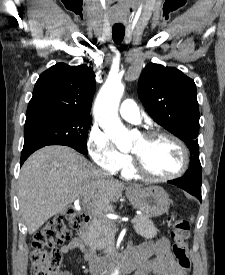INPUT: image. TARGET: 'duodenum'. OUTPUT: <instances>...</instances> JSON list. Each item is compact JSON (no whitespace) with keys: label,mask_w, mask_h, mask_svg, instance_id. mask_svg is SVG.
Instances as JSON below:
<instances>
[{"label":"duodenum","mask_w":225,"mask_h":275,"mask_svg":"<svg viewBox=\"0 0 225 275\" xmlns=\"http://www.w3.org/2000/svg\"><path fill=\"white\" fill-rule=\"evenodd\" d=\"M81 211L87 216V219L83 222L81 226L82 233L85 237L91 232V220L85 209ZM87 248L89 244L86 243ZM126 258L120 262V267L123 272H129L134 270L139 266V262L134 259V257L128 253ZM89 269L94 275H105L109 270H111L117 263L116 258H103L92 254L91 252L87 255Z\"/></svg>","instance_id":"410a0bca"}]
</instances>
